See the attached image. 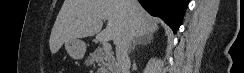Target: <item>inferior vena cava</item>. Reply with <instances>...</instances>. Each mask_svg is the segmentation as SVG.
Here are the masks:
<instances>
[{"instance_id": "obj_1", "label": "inferior vena cava", "mask_w": 244, "mask_h": 73, "mask_svg": "<svg viewBox=\"0 0 244 73\" xmlns=\"http://www.w3.org/2000/svg\"><path fill=\"white\" fill-rule=\"evenodd\" d=\"M131 21V15H129L126 20L125 28L116 41V58L120 73H129L130 69L128 50L133 39Z\"/></svg>"}]
</instances>
